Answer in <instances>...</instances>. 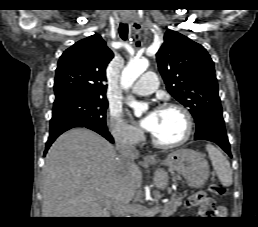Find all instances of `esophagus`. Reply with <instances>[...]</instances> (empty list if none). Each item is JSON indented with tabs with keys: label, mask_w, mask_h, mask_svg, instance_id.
Segmentation results:
<instances>
[{
	"label": "esophagus",
	"mask_w": 258,
	"mask_h": 227,
	"mask_svg": "<svg viewBox=\"0 0 258 227\" xmlns=\"http://www.w3.org/2000/svg\"><path fill=\"white\" fill-rule=\"evenodd\" d=\"M143 160L145 161V162H150L151 160H152V157L151 156H145L144 158H143Z\"/></svg>",
	"instance_id": "1"
}]
</instances>
